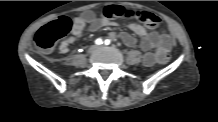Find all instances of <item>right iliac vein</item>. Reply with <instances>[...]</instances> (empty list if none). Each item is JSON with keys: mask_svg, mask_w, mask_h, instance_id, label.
<instances>
[{"mask_svg": "<svg viewBox=\"0 0 218 122\" xmlns=\"http://www.w3.org/2000/svg\"><path fill=\"white\" fill-rule=\"evenodd\" d=\"M97 47L96 46H91L89 49H88V52L89 53H94L96 51Z\"/></svg>", "mask_w": 218, "mask_h": 122, "instance_id": "63e3f726", "label": "right iliac vein"}]
</instances>
